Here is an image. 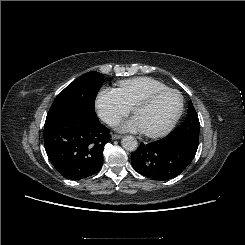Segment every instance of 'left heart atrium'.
I'll list each match as a JSON object with an SVG mask.
<instances>
[{"label": "left heart atrium", "instance_id": "left-heart-atrium-1", "mask_svg": "<svg viewBox=\"0 0 245 245\" xmlns=\"http://www.w3.org/2000/svg\"><path fill=\"white\" fill-rule=\"evenodd\" d=\"M119 127L123 131L143 132V128L136 117L121 123Z\"/></svg>", "mask_w": 245, "mask_h": 245}]
</instances>
